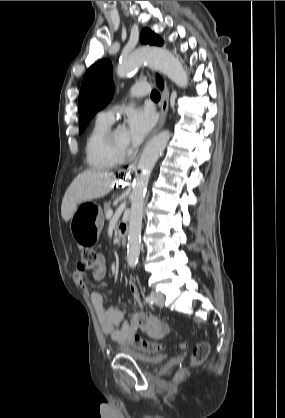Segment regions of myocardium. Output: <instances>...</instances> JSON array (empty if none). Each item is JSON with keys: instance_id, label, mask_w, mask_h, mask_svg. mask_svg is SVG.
Listing matches in <instances>:
<instances>
[{"instance_id": "f54148a6", "label": "myocardium", "mask_w": 285, "mask_h": 418, "mask_svg": "<svg viewBox=\"0 0 285 418\" xmlns=\"http://www.w3.org/2000/svg\"><path fill=\"white\" fill-rule=\"evenodd\" d=\"M114 131L115 129L110 126L104 133L102 141L112 155L123 159L127 156V146L118 147L115 145L113 141Z\"/></svg>"}]
</instances>
